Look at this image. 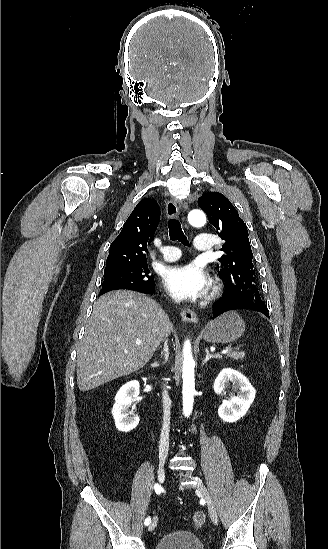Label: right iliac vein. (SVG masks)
I'll list each match as a JSON object with an SVG mask.
<instances>
[{
	"mask_svg": "<svg viewBox=\"0 0 328 549\" xmlns=\"http://www.w3.org/2000/svg\"><path fill=\"white\" fill-rule=\"evenodd\" d=\"M158 480L163 483L165 481V470H164V465L163 464H160L159 465V468H158ZM157 526V517H155L151 524L149 525L148 527V530L149 531H153Z\"/></svg>",
	"mask_w": 328,
	"mask_h": 549,
	"instance_id": "63e3f726",
	"label": "right iliac vein"
}]
</instances>
